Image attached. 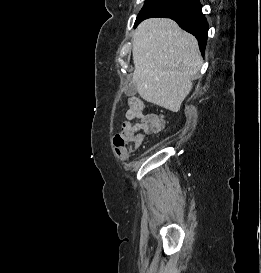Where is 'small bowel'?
Returning <instances> with one entry per match:
<instances>
[{
  "label": "small bowel",
  "mask_w": 261,
  "mask_h": 273,
  "mask_svg": "<svg viewBox=\"0 0 261 273\" xmlns=\"http://www.w3.org/2000/svg\"><path fill=\"white\" fill-rule=\"evenodd\" d=\"M125 117L127 121L124 122L122 127V129L125 131L142 130L147 134H152L161 131L165 123L163 116L160 114L142 113L136 115L130 107L125 112ZM132 120H136L137 122L132 124L130 122Z\"/></svg>",
  "instance_id": "small-bowel-1"
}]
</instances>
